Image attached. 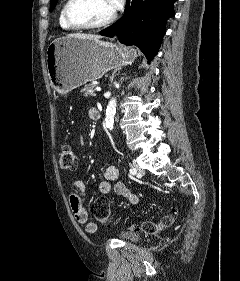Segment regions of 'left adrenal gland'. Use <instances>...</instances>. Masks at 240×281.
Segmentation results:
<instances>
[{"mask_svg": "<svg viewBox=\"0 0 240 281\" xmlns=\"http://www.w3.org/2000/svg\"><path fill=\"white\" fill-rule=\"evenodd\" d=\"M117 71H119V69H118V70H114L113 73H112V75L110 76V81H111V82L113 81L114 76H115V73H116Z\"/></svg>", "mask_w": 240, "mask_h": 281, "instance_id": "1", "label": "left adrenal gland"}]
</instances>
